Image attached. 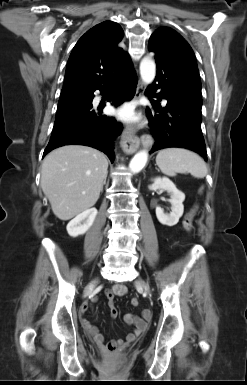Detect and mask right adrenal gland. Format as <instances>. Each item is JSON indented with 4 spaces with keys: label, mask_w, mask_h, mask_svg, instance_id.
I'll use <instances>...</instances> for the list:
<instances>
[{
    "label": "right adrenal gland",
    "mask_w": 247,
    "mask_h": 385,
    "mask_svg": "<svg viewBox=\"0 0 247 385\" xmlns=\"http://www.w3.org/2000/svg\"><path fill=\"white\" fill-rule=\"evenodd\" d=\"M105 184H106V178H105L104 181H103V185H105ZM101 191H103V186H102Z\"/></svg>",
    "instance_id": "right-adrenal-gland-1"
}]
</instances>
